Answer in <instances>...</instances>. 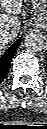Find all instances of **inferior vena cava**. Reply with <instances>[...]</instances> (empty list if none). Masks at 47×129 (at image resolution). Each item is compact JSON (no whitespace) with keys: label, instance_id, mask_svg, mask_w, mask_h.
<instances>
[{"label":"inferior vena cava","instance_id":"inferior-vena-cava-1","mask_svg":"<svg viewBox=\"0 0 47 129\" xmlns=\"http://www.w3.org/2000/svg\"><path fill=\"white\" fill-rule=\"evenodd\" d=\"M15 33L10 31V30H6V29H2L0 31V40L1 41H12L15 38Z\"/></svg>","mask_w":47,"mask_h":129}]
</instances>
